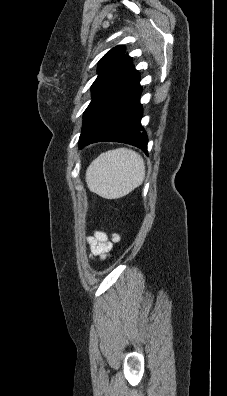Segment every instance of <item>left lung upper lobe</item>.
Masks as SVG:
<instances>
[{
    "mask_svg": "<svg viewBox=\"0 0 227 396\" xmlns=\"http://www.w3.org/2000/svg\"><path fill=\"white\" fill-rule=\"evenodd\" d=\"M135 72L123 45L112 48L102 57L98 65V77L92 85V100L84 112L83 126L95 106Z\"/></svg>",
    "mask_w": 227,
    "mask_h": 396,
    "instance_id": "5c2ea615",
    "label": "left lung upper lobe"
}]
</instances>
